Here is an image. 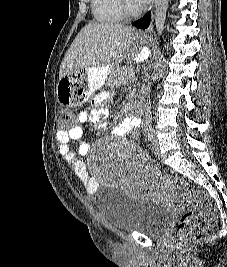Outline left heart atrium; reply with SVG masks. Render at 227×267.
<instances>
[{"label":"left heart atrium","mask_w":227,"mask_h":267,"mask_svg":"<svg viewBox=\"0 0 227 267\" xmlns=\"http://www.w3.org/2000/svg\"><path fill=\"white\" fill-rule=\"evenodd\" d=\"M137 7L144 6L148 0H132Z\"/></svg>","instance_id":"39dd6f15"}]
</instances>
